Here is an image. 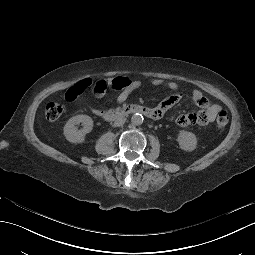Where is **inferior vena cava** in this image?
<instances>
[{
    "label": "inferior vena cava",
    "mask_w": 255,
    "mask_h": 255,
    "mask_svg": "<svg viewBox=\"0 0 255 255\" xmlns=\"http://www.w3.org/2000/svg\"><path fill=\"white\" fill-rule=\"evenodd\" d=\"M125 121H126V118H124V117H118V118H116L115 121H114V126H115V127L122 126V125L125 123Z\"/></svg>",
    "instance_id": "1"
}]
</instances>
